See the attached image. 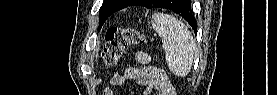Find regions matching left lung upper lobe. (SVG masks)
<instances>
[{
  "label": "left lung upper lobe",
  "instance_id": "obj_1",
  "mask_svg": "<svg viewBox=\"0 0 277 95\" xmlns=\"http://www.w3.org/2000/svg\"><path fill=\"white\" fill-rule=\"evenodd\" d=\"M133 0H105L99 10V27L101 29L107 18L114 12L127 7ZM182 0H177L176 5L180 4ZM163 0H149L148 8L159 7Z\"/></svg>",
  "mask_w": 277,
  "mask_h": 95
}]
</instances>
